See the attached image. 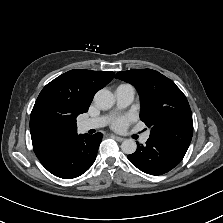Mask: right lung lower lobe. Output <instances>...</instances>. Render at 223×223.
<instances>
[{
    "label": "right lung lower lobe",
    "mask_w": 223,
    "mask_h": 223,
    "mask_svg": "<svg viewBox=\"0 0 223 223\" xmlns=\"http://www.w3.org/2000/svg\"><path fill=\"white\" fill-rule=\"evenodd\" d=\"M102 134L75 135L68 142L39 159L53 175L63 178H76L85 173L94 163Z\"/></svg>",
    "instance_id": "right-lung-lower-lobe-1"
}]
</instances>
